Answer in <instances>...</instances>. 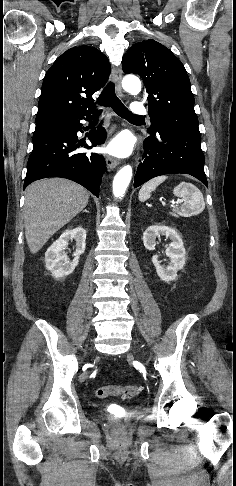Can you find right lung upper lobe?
I'll return each instance as SVG.
<instances>
[{
    "instance_id": "1",
    "label": "right lung upper lobe",
    "mask_w": 236,
    "mask_h": 486,
    "mask_svg": "<svg viewBox=\"0 0 236 486\" xmlns=\"http://www.w3.org/2000/svg\"><path fill=\"white\" fill-rule=\"evenodd\" d=\"M110 70L107 57L95 47L83 45L65 51L43 80L36 124L94 110L92 95L104 85Z\"/></svg>"
}]
</instances>
